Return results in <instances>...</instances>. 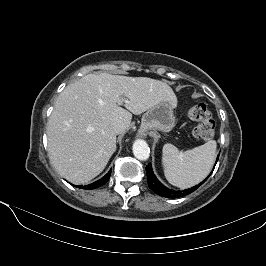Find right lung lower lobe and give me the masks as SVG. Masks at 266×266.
Instances as JSON below:
<instances>
[{"instance_id":"98d812e1","label":"right lung lower lobe","mask_w":266,"mask_h":266,"mask_svg":"<svg viewBox=\"0 0 266 266\" xmlns=\"http://www.w3.org/2000/svg\"><path fill=\"white\" fill-rule=\"evenodd\" d=\"M110 175H111V170L101 179H99L98 181L92 183V184H89V185H85V186H82V185H79V186H75V187H78V188H81V189H95V188H98L102 185H104L110 178Z\"/></svg>"}]
</instances>
